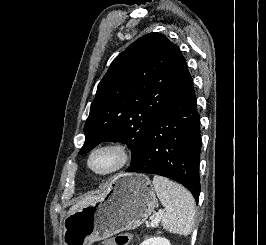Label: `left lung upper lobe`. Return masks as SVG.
<instances>
[{
	"label": "left lung upper lobe",
	"mask_w": 266,
	"mask_h": 245,
	"mask_svg": "<svg viewBox=\"0 0 266 245\" xmlns=\"http://www.w3.org/2000/svg\"><path fill=\"white\" fill-rule=\"evenodd\" d=\"M187 71L179 48L161 33L142 36L111 63L84 126L85 154L102 141L121 142L139 159L146 133Z\"/></svg>",
	"instance_id": "left-lung-upper-lobe-1"
}]
</instances>
